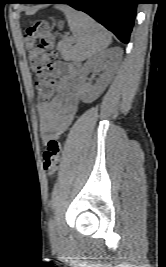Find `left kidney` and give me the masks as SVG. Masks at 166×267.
<instances>
[{
    "mask_svg": "<svg viewBox=\"0 0 166 267\" xmlns=\"http://www.w3.org/2000/svg\"><path fill=\"white\" fill-rule=\"evenodd\" d=\"M108 52H102L89 59L82 69L78 78V92L84 103H92L106 89L110 82L109 70L107 67ZM103 72L95 84L87 82V75L90 70Z\"/></svg>",
    "mask_w": 166,
    "mask_h": 267,
    "instance_id": "left-kidney-1",
    "label": "left kidney"
}]
</instances>
